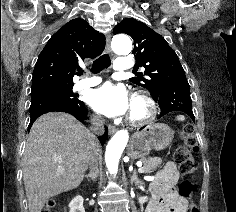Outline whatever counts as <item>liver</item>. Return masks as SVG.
Instances as JSON below:
<instances>
[{
	"label": "liver",
	"instance_id": "6515ba94",
	"mask_svg": "<svg viewBox=\"0 0 236 212\" xmlns=\"http://www.w3.org/2000/svg\"><path fill=\"white\" fill-rule=\"evenodd\" d=\"M94 150L99 151L96 138L72 115L50 112L39 117L23 157L29 212H41L49 198L78 187Z\"/></svg>",
	"mask_w": 236,
	"mask_h": 212
}]
</instances>
